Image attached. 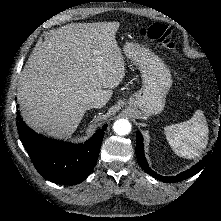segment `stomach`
Listing matches in <instances>:
<instances>
[{
    "label": "stomach",
    "mask_w": 221,
    "mask_h": 221,
    "mask_svg": "<svg viewBox=\"0 0 221 221\" xmlns=\"http://www.w3.org/2000/svg\"><path fill=\"white\" fill-rule=\"evenodd\" d=\"M124 54L141 72L142 88L129 98V106L141 118L162 112L166 95L172 86L170 70L151 50L135 43H126Z\"/></svg>",
    "instance_id": "stomach-1"
}]
</instances>
